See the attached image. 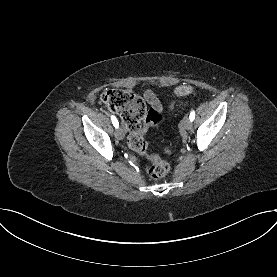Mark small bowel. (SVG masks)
I'll return each instance as SVG.
<instances>
[{"instance_id": "1", "label": "small bowel", "mask_w": 277, "mask_h": 277, "mask_svg": "<svg viewBox=\"0 0 277 277\" xmlns=\"http://www.w3.org/2000/svg\"><path fill=\"white\" fill-rule=\"evenodd\" d=\"M144 97L146 101L151 105L152 109L162 113V104L154 92L148 90L145 92ZM149 126V124L144 123L142 125V132L145 133L148 130Z\"/></svg>"}]
</instances>
